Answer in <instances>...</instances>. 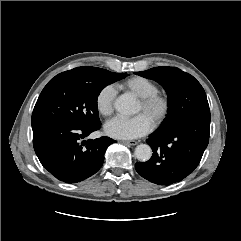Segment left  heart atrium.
Wrapping results in <instances>:
<instances>
[{
	"instance_id": "obj_1",
	"label": "left heart atrium",
	"mask_w": 241,
	"mask_h": 241,
	"mask_svg": "<svg viewBox=\"0 0 241 241\" xmlns=\"http://www.w3.org/2000/svg\"><path fill=\"white\" fill-rule=\"evenodd\" d=\"M152 128L151 119L140 113L132 118L115 117L105 125V132L118 139H134L147 134Z\"/></svg>"
}]
</instances>
